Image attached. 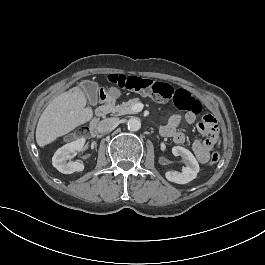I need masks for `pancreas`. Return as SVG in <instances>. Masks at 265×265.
<instances>
[{
	"label": "pancreas",
	"mask_w": 265,
	"mask_h": 265,
	"mask_svg": "<svg viewBox=\"0 0 265 265\" xmlns=\"http://www.w3.org/2000/svg\"><path fill=\"white\" fill-rule=\"evenodd\" d=\"M138 103H140L139 98H134V99L128 100L127 102H123L121 105H117L114 107H108V108L115 116H121L125 114L134 113L132 110V107Z\"/></svg>",
	"instance_id": "cf45deb5"
}]
</instances>
